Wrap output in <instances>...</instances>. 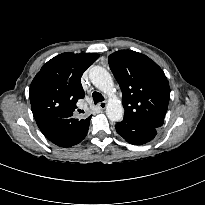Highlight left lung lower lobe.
Here are the masks:
<instances>
[{
	"mask_svg": "<svg viewBox=\"0 0 205 205\" xmlns=\"http://www.w3.org/2000/svg\"><path fill=\"white\" fill-rule=\"evenodd\" d=\"M115 129L120 136L133 145H142L150 142L157 133L156 127L127 118L117 123Z\"/></svg>",
	"mask_w": 205,
	"mask_h": 205,
	"instance_id": "obj_1",
	"label": "left lung lower lobe"
}]
</instances>
